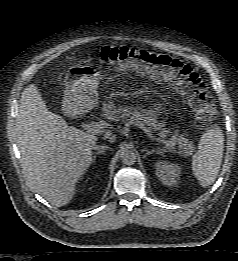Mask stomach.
Masks as SVG:
<instances>
[{
  "instance_id": "1",
  "label": "stomach",
  "mask_w": 238,
  "mask_h": 261,
  "mask_svg": "<svg viewBox=\"0 0 238 261\" xmlns=\"http://www.w3.org/2000/svg\"><path fill=\"white\" fill-rule=\"evenodd\" d=\"M100 77V72L90 67L69 68L64 79V107L74 114L93 109L97 104Z\"/></svg>"
}]
</instances>
